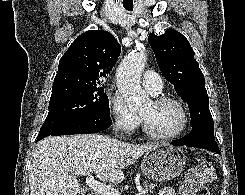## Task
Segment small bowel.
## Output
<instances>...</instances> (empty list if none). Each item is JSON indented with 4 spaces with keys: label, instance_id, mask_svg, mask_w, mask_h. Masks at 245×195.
<instances>
[{
    "label": "small bowel",
    "instance_id": "small-bowel-1",
    "mask_svg": "<svg viewBox=\"0 0 245 195\" xmlns=\"http://www.w3.org/2000/svg\"><path fill=\"white\" fill-rule=\"evenodd\" d=\"M158 195H175V192L170 187H164L160 190Z\"/></svg>",
    "mask_w": 245,
    "mask_h": 195
}]
</instances>
